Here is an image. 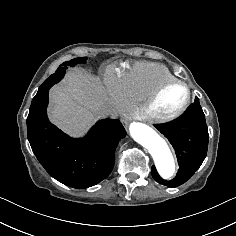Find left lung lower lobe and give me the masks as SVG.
Wrapping results in <instances>:
<instances>
[{
    "mask_svg": "<svg viewBox=\"0 0 236 236\" xmlns=\"http://www.w3.org/2000/svg\"><path fill=\"white\" fill-rule=\"evenodd\" d=\"M156 128L172 144L180 169L176 178L165 181L153 166L152 176L160 184L180 186L193 176L207 154L209 134L199 98H195V102L178 120L167 125H156Z\"/></svg>",
    "mask_w": 236,
    "mask_h": 236,
    "instance_id": "left-lung-lower-lobe-1",
    "label": "left lung lower lobe"
}]
</instances>
